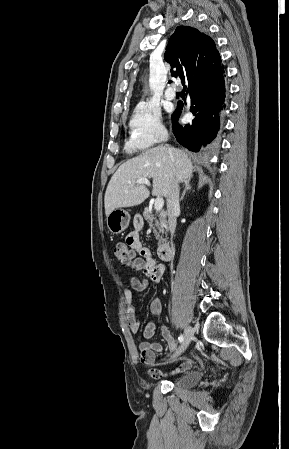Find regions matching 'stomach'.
<instances>
[{
  "label": "stomach",
  "mask_w": 289,
  "mask_h": 449,
  "mask_svg": "<svg viewBox=\"0 0 289 449\" xmlns=\"http://www.w3.org/2000/svg\"><path fill=\"white\" fill-rule=\"evenodd\" d=\"M106 222L111 233L119 234L129 226L130 214L126 210L118 208L107 216Z\"/></svg>",
  "instance_id": "stomach-1"
}]
</instances>
